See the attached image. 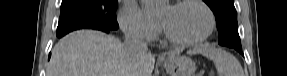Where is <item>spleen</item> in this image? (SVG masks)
Returning <instances> with one entry per match:
<instances>
[{"label": "spleen", "mask_w": 287, "mask_h": 76, "mask_svg": "<svg viewBox=\"0 0 287 76\" xmlns=\"http://www.w3.org/2000/svg\"><path fill=\"white\" fill-rule=\"evenodd\" d=\"M189 54H201L212 60L221 76H244L239 61L231 54L214 46H202L189 51Z\"/></svg>", "instance_id": "1"}]
</instances>
